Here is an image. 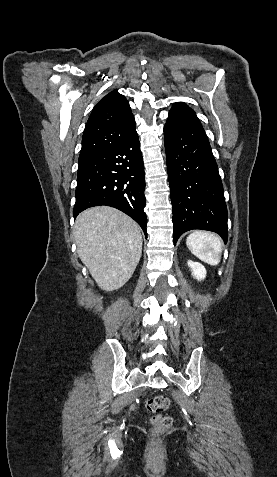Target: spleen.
<instances>
[{"instance_id": "3e777b00", "label": "spleen", "mask_w": 277, "mask_h": 477, "mask_svg": "<svg viewBox=\"0 0 277 477\" xmlns=\"http://www.w3.org/2000/svg\"><path fill=\"white\" fill-rule=\"evenodd\" d=\"M189 250L200 260L217 265L221 260L222 242L215 234L206 231H194L187 239Z\"/></svg>"}]
</instances>
